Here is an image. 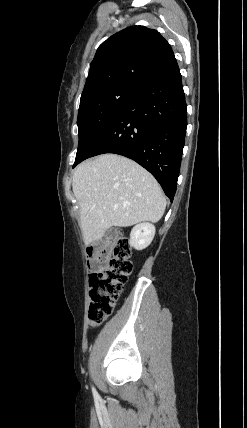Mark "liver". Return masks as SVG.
Here are the masks:
<instances>
[{"instance_id":"6515ba94","label":"liver","mask_w":247,"mask_h":428,"mask_svg":"<svg viewBox=\"0 0 247 428\" xmlns=\"http://www.w3.org/2000/svg\"><path fill=\"white\" fill-rule=\"evenodd\" d=\"M84 243L102 239L110 227L158 222L166 199L155 178L136 162L104 154L81 163L72 179Z\"/></svg>"}]
</instances>
